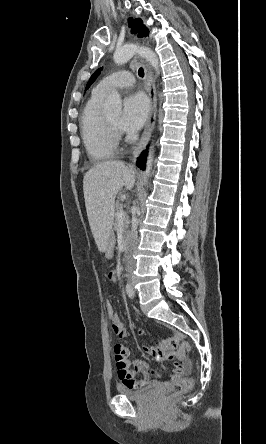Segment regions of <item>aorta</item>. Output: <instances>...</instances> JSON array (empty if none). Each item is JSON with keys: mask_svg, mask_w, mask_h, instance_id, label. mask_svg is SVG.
I'll return each mask as SVG.
<instances>
[{"mask_svg": "<svg viewBox=\"0 0 266 444\" xmlns=\"http://www.w3.org/2000/svg\"><path fill=\"white\" fill-rule=\"evenodd\" d=\"M139 55L146 59L153 69L159 72V61L156 54L147 47H140L134 44H126L115 50L113 60L116 64L120 65L127 62L134 55ZM103 111L112 115H119L122 112V101L117 91H112L105 100ZM154 149L151 146L147 158L146 169L144 171V181L147 182L152 171Z\"/></svg>", "mask_w": 266, "mask_h": 444, "instance_id": "obj_1", "label": "aorta"}]
</instances>
